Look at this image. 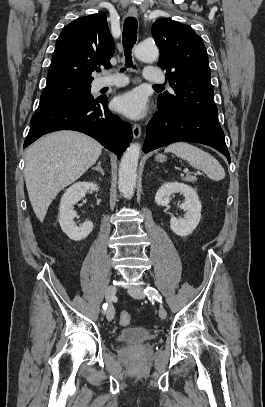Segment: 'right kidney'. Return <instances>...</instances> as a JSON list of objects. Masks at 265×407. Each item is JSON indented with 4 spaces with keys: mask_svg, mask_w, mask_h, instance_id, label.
Returning <instances> with one entry per match:
<instances>
[{
    "mask_svg": "<svg viewBox=\"0 0 265 407\" xmlns=\"http://www.w3.org/2000/svg\"><path fill=\"white\" fill-rule=\"evenodd\" d=\"M98 192L99 187L93 182H78L70 186L61 198L59 208V223L63 232L74 241L85 239L93 230V222L86 221L80 227L74 222L76 212L74 205L85 197L88 190Z\"/></svg>",
    "mask_w": 265,
    "mask_h": 407,
    "instance_id": "ca27d5eb",
    "label": "right kidney"
}]
</instances>
